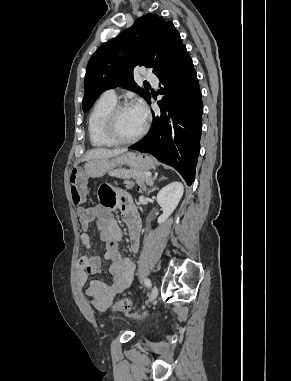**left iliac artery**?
<instances>
[{
  "label": "left iliac artery",
  "mask_w": 291,
  "mask_h": 381,
  "mask_svg": "<svg viewBox=\"0 0 291 381\" xmlns=\"http://www.w3.org/2000/svg\"><path fill=\"white\" fill-rule=\"evenodd\" d=\"M144 283H145V285H146L148 288H151L152 283H151V280H150L149 278H145V279H144Z\"/></svg>",
  "instance_id": "44dca946"
}]
</instances>
